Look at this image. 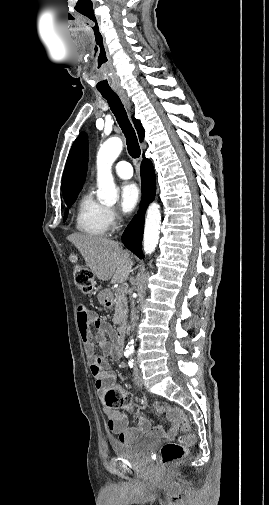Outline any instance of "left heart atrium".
<instances>
[{
    "instance_id": "39dd6f15",
    "label": "left heart atrium",
    "mask_w": 269,
    "mask_h": 505,
    "mask_svg": "<svg viewBox=\"0 0 269 505\" xmlns=\"http://www.w3.org/2000/svg\"><path fill=\"white\" fill-rule=\"evenodd\" d=\"M140 200V189L136 183L126 182L121 186L120 208L124 213L132 212Z\"/></svg>"
}]
</instances>
